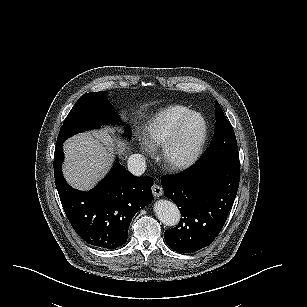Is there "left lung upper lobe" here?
Here are the masks:
<instances>
[{
  "mask_svg": "<svg viewBox=\"0 0 307 307\" xmlns=\"http://www.w3.org/2000/svg\"><path fill=\"white\" fill-rule=\"evenodd\" d=\"M215 114L216 123L212 142L204 156L197 163L219 162L240 165L234 130L225 118L218 102L215 103Z\"/></svg>",
  "mask_w": 307,
  "mask_h": 307,
  "instance_id": "5c2ea615",
  "label": "left lung upper lobe"
}]
</instances>
